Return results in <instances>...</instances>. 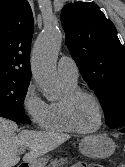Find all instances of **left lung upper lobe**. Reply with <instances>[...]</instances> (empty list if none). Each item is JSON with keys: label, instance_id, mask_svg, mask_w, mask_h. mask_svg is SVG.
Returning a JSON list of instances; mask_svg holds the SVG:
<instances>
[{"label": "left lung upper lobe", "instance_id": "1", "mask_svg": "<svg viewBox=\"0 0 125 167\" xmlns=\"http://www.w3.org/2000/svg\"><path fill=\"white\" fill-rule=\"evenodd\" d=\"M61 21L71 56L103 105L106 125L125 128V46L114 24L90 2L67 4Z\"/></svg>", "mask_w": 125, "mask_h": 167}]
</instances>
